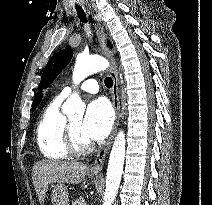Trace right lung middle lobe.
Listing matches in <instances>:
<instances>
[{"mask_svg": "<svg viewBox=\"0 0 212 205\" xmlns=\"http://www.w3.org/2000/svg\"><path fill=\"white\" fill-rule=\"evenodd\" d=\"M36 109V106L35 107H32V111H34Z\"/></svg>", "mask_w": 212, "mask_h": 205, "instance_id": "1", "label": "right lung middle lobe"}]
</instances>
